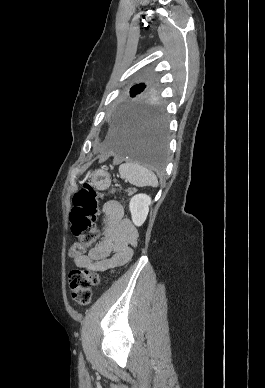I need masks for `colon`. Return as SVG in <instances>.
<instances>
[{
  "mask_svg": "<svg viewBox=\"0 0 265 388\" xmlns=\"http://www.w3.org/2000/svg\"><path fill=\"white\" fill-rule=\"evenodd\" d=\"M102 193L90 184H85L73 199L74 207L70 213L72 234L79 239L69 249L72 258L84 254L87 247L92 246L99 237L96 222L99 215V200ZM100 276L89 270H73L69 273V285L72 299L79 305L90 303L92 288L99 285Z\"/></svg>",
  "mask_w": 265,
  "mask_h": 388,
  "instance_id": "1",
  "label": "colon"
}]
</instances>
